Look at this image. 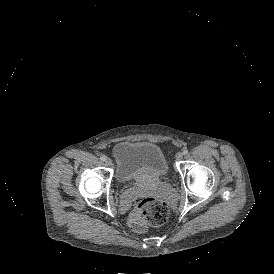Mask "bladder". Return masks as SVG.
Instances as JSON below:
<instances>
[{"instance_id": "bladder-1", "label": "bladder", "mask_w": 274, "mask_h": 274, "mask_svg": "<svg viewBox=\"0 0 274 274\" xmlns=\"http://www.w3.org/2000/svg\"><path fill=\"white\" fill-rule=\"evenodd\" d=\"M113 157L116 177L123 184L141 179L157 181L169 171L165 154L152 142L122 141L114 146Z\"/></svg>"}]
</instances>
